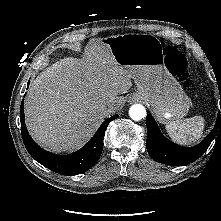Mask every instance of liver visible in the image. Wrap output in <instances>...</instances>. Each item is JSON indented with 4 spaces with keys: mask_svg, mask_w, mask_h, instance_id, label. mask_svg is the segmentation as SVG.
Returning <instances> with one entry per match:
<instances>
[{
    "mask_svg": "<svg viewBox=\"0 0 221 221\" xmlns=\"http://www.w3.org/2000/svg\"><path fill=\"white\" fill-rule=\"evenodd\" d=\"M132 86L106 43L89 41L84 57L64 58L46 68L31 83L24 111L30 135L55 151L83 146L107 117L104 108L122 107L121 96Z\"/></svg>",
    "mask_w": 221,
    "mask_h": 221,
    "instance_id": "1",
    "label": "liver"
}]
</instances>
